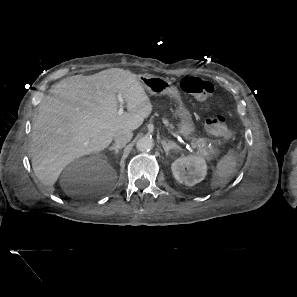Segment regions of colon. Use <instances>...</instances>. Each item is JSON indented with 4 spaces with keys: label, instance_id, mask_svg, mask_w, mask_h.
<instances>
[{
    "label": "colon",
    "instance_id": "obj_1",
    "mask_svg": "<svg viewBox=\"0 0 297 297\" xmlns=\"http://www.w3.org/2000/svg\"><path fill=\"white\" fill-rule=\"evenodd\" d=\"M180 88L182 91L201 100H208L214 92V86L211 82L192 76L183 78L180 82ZM227 125V116L219 112L212 113L206 120L208 131L218 137H227L229 135Z\"/></svg>",
    "mask_w": 297,
    "mask_h": 297
}]
</instances>
